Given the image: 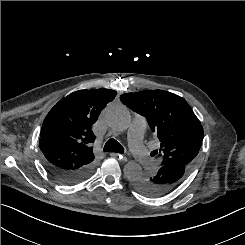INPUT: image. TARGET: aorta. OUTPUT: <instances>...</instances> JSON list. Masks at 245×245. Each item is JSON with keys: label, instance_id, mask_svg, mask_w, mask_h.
Masks as SVG:
<instances>
[{"label": "aorta", "instance_id": "aorta-1", "mask_svg": "<svg viewBox=\"0 0 245 245\" xmlns=\"http://www.w3.org/2000/svg\"><path fill=\"white\" fill-rule=\"evenodd\" d=\"M105 120L107 125L115 132H123L127 130L131 124L130 112L121 105L111 106L105 112ZM124 175L130 180L134 176H142L143 171L140 164L130 161L124 166Z\"/></svg>", "mask_w": 245, "mask_h": 245}]
</instances>
